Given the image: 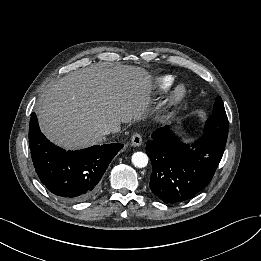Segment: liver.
<instances>
[{"label": "liver", "mask_w": 261, "mask_h": 261, "mask_svg": "<svg viewBox=\"0 0 261 261\" xmlns=\"http://www.w3.org/2000/svg\"><path fill=\"white\" fill-rule=\"evenodd\" d=\"M151 76L140 67L91 65L62 77L38 101L42 132L66 149L102 142L103 128L140 120L151 104Z\"/></svg>", "instance_id": "6515ba94"}]
</instances>
